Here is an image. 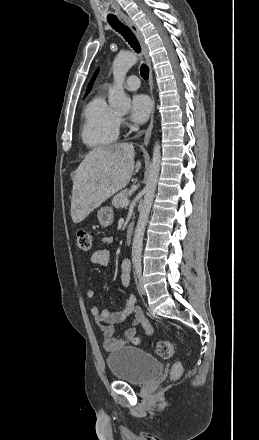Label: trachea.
<instances>
[{
    "mask_svg": "<svg viewBox=\"0 0 259 440\" xmlns=\"http://www.w3.org/2000/svg\"><path fill=\"white\" fill-rule=\"evenodd\" d=\"M108 23L112 26L113 29H115L117 32H119L124 39L129 43V45L135 50V52H140L141 48L138 43V40L134 36V34L131 32V30L122 24L116 17L108 19ZM140 74L141 77L145 80L149 78V68L147 65L142 64L140 67Z\"/></svg>",
    "mask_w": 259,
    "mask_h": 440,
    "instance_id": "obj_1",
    "label": "trachea"
}]
</instances>
